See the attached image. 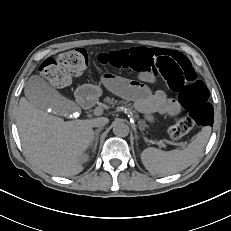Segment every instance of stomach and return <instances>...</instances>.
<instances>
[{
  "label": "stomach",
  "mask_w": 231,
  "mask_h": 231,
  "mask_svg": "<svg viewBox=\"0 0 231 231\" xmlns=\"http://www.w3.org/2000/svg\"><path fill=\"white\" fill-rule=\"evenodd\" d=\"M102 94L101 88L92 84H85L76 90V97L80 101L97 99Z\"/></svg>",
  "instance_id": "obj_1"
}]
</instances>
